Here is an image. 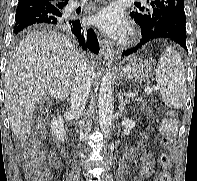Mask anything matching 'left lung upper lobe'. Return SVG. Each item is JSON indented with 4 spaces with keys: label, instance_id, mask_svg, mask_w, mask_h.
Here are the masks:
<instances>
[{
    "label": "left lung upper lobe",
    "instance_id": "1",
    "mask_svg": "<svg viewBox=\"0 0 197 181\" xmlns=\"http://www.w3.org/2000/svg\"><path fill=\"white\" fill-rule=\"evenodd\" d=\"M179 10L184 11V0H147L145 5L135 3L130 16L146 34L153 29L160 17Z\"/></svg>",
    "mask_w": 197,
    "mask_h": 181
}]
</instances>
